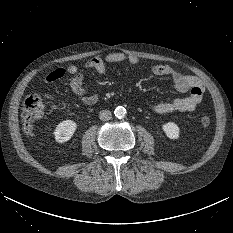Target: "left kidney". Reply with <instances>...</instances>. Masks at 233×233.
I'll list each match as a JSON object with an SVG mask.
<instances>
[{"mask_svg": "<svg viewBox=\"0 0 233 233\" xmlns=\"http://www.w3.org/2000/svg\"><path fill=\"white\" fill-rule=\"evenodd\" d=\"M163 131L170 139H178L180 135V129L174 122H168L163 124Z\"/></svg>", "mask_w": 233, "mask_h": 233, "instance_id": "obj_1", "label": "left kidney"}]
</instances>
